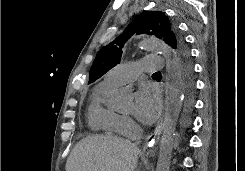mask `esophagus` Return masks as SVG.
<instances>
[{
	"instance_id": "34e87169",
	"label": "esophagus",
	"mask_w": 245,
	"mask_h": 171,
	"mask_svg": "<svg viewBox=\"0 0 245 171\" xmlns=\"http://www.w3.org/2000/svg\"><path fill=\"white\" fill-rule=\"evenodd\" d=\"M162 121L163 118L161 117L155 130L146 138V142L144 144V152L146 155H151L154 153V146L157 143L162 131Z\"/></svg>"
}]
</instances>
